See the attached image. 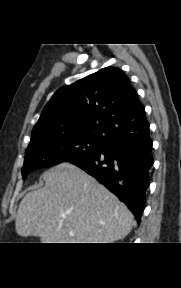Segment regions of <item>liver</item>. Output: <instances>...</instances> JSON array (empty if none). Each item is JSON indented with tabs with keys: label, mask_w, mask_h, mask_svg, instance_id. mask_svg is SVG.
<instances>
[{
	"label": "liver",
	"mask_w": 181,
	"mask_h": 288,
	"mask_svg": "<svg viewBox=\"0 0 181 288\" xmlns=\"http://www.w3.org/2000/svg\"><path fill=\"white\" fill-rule=\"evenodd\" d=\"M42 178L44 187L20 202V236L42 243H112L130 233L134 217L126 205L80 168L61 163Z\"/></svg>",
	"instance_id": "obj_1"
}]
</instances>
